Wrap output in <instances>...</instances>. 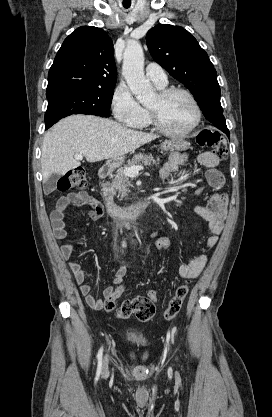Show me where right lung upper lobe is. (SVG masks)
<instances>
[{
	"mask_svg": "<svg viewBox=\"0 0 272 417\" xmlns=\"http://www.w3.org/2000/svg\"><path fill=\"white\" fill-rule=\"evenodd\" d=\"M113 43L100 28L82 26L63 42L48 74L47 92L116 85Z\"/></svg>",
	"mask_w": 272,
	"mask_h": 417,
	"instance_id": "1",
	"label": "right lung upper lobe"
}]
</instances>
